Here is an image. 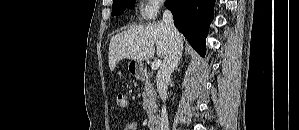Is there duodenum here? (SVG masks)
<instances>
[{
    "label": "duodenum",
    "mask_w": 299,
    "mask_h": 130,
    "mask_svg": "<svg viewBox=\"0 0 299 130\" xmlns=\"http://www.w3.org/2000/svg\"><path fill=\"white\" fill-rule=\"evenodd\" d=\"M143 76V74H141ZM149 127L151 130H161V119L155 115L149 119Z\"/></svg>",
    "instance_id": "duodenum-1"
}]
</instances>
